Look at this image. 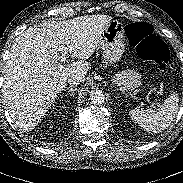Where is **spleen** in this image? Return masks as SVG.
I'll return each instance as SVG.
<instances>
[{
  "label": "spleen",
  "instance_id": "obj_1",
  "mask_svg": "<svg viewBox=\"0 0 183 183\" xmlns=\"http://www.w3.org/2000/svg\"><path fill=\"white\" fill-rule=\"evenodd\" d=\"M178 93L171 94L165 99L160 108L132 109L129 112L131 119L150 133H160L169 127L179 109Z\"/></svg>",
  "mask_w": 183,
  "mask_h": 183
}]
</instances>
